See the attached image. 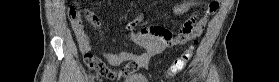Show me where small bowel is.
<instances>
[{"label": "small bowel", "instance_id": "1", "mask_svg": "<svg viewBox=\"0 0 279 82\" xmlns=\"http://www.w3.org/2000/svg\"><path fill=\"white\" fill-rule=\"evenodd\" d=\"M194 5H196V3L193 1L177 5L173 8L172 13L174 15L182 14ZM218 7L219 3L208 4L206 8L202 10L199 17L196 13L191 14L175 33L161 26L145 27L133 32L131 35L133 40L144 49L141 54L125 51L119 53H101L102 59H98L94 56L93 46L79 18L72 22V30L83 54L85 63L90 68L96 70L99 75L113 79L117 78L119 75L133 74L138 68L146 66L153 57L160 55L168 48L186 44L194 37L199 36L208 18L217 11ZM138 23L139 20L129 22L127 24V29L133 31ZM95 27L100 30V25ZM104 61L113 66L123 62H127V65L120 73H115L106 66ZM100 65H103V67H100Z\"/></svg>", "mask_w": 279, "mask_h": 82}]
</instances>
